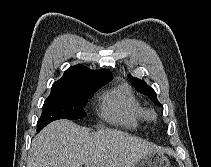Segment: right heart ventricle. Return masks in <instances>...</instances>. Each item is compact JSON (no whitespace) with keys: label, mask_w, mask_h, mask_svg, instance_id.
Wrapping results in <instances>:
<instances>
[{"label":"right heart ventricle","mask_w":211,"mask_h":167,"mask_svg":"<svg viewBox=\"0 0 211 167\" xmlns=\"http://www.w3.org/2000/svg\"><path fill=\"white\" fill-rule=\"evenodd\" d=\"M101 116L111 122L135 127L145 118V110L131 88L125 84L106 91L101 97Z\"/></svg>","instance_id":"obj_1"}]
</instances>
